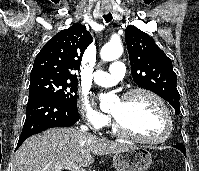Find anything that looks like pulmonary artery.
<instances>
[{"instance_id": "1", "label": "pulmonary artery", "mask_w": 199, "mask_h": 171, "mask_svg": "<svg viewBox=\"0 0 199 171\" xmlns=\"http://www.w3.org/2000/svg\"><path fill=\"white\" fill-rule=\"evenodd\" d=\"M124 70L125 67L121 61H114L108 71L94 72V82L103 87L113 86L124 76Z\"/></svg>"}]
</instances>
